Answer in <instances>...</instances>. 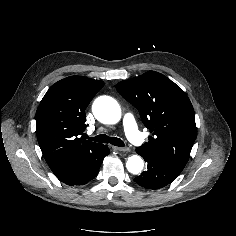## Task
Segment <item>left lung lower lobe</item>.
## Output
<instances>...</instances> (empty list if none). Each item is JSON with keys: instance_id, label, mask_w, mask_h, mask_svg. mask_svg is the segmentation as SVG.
Instances as JSON below:
<instances>
[{"instance_id": "0a47b994", "label": "left lung lower lobe", "mask_w": 236, "mask_h": 236, "mask_svg": "<svg viewBox=\"0 0 236 236\" xmlns=\"http://www.w3.org/2000/svg\"><path fill=\"white\" fill-rule=\"evenodd\" d=\"M136 151L147 162V170L136 177L134 181L146 189L156 190L163 188L174 181L182 171L154 152L143 150L139 147Z\"/></svg>"}]
</instances>
